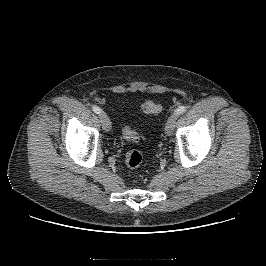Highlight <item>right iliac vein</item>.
Returning a JSON list of instances; mask_svg holds the SVG:
<instances>
[{"instance_id":"1","label":"right iliac vein","mask_w":266,"mask_h":266,"mask_svg":"<svg viewBox=\"0 0 266 266\" xmlns=\"http://www.w3.org/2000/svg\"><path fill=\"white\" fill-rule=\"evenodd\" d=\"M100 122L103 130L105 132H109L111 127V122L109 117L104 112L100 113Z\"/></svg>"}]
</instances>
